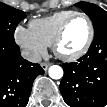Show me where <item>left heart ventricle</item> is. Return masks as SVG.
<instances>
[{"label": "left heart ventricle", "mask_w": 107, "mask_h": 107, "mask_svg": "<svg viewBox=\"0 0 107 107\" xmlns=\"http://www.w3.org/2000/svg\"><path fill=\"white\" fill-rule=\"evenodd\" d=\"M89 34V27L83 18H75L69 24L64 39L60 44V51L72 54L80 50L85 44Z\"/></svg>", "instance_id": "left-heart-ventricle-1"}]
</instances>
